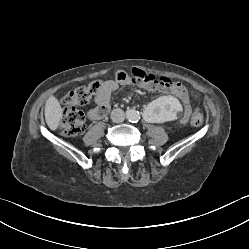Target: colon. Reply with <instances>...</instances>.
Returning <instances> with one entry per match:
<instances>
[{
    "instance_id": "5ec220e1",
    "label": "colon",
    "mask_w": 249,
    "mask_h": 249,
    "mask_svg": "<svg viewBox=\"0 0 249 249\" xmlns=\"http://www.w3.org/2000/svg\"><path fill=\"white\" fill-rule=\"evenodd\" d=\"M147 75L157 80V85L154 88L161 84L162 79H158L152 74ZM103 84L104 82L102 81H94L87 86L78 87L62 97L63 114L60 121V131L64 137H75L84 132L85 118L76 106L86 104L93 95H97L102 90ZM188 93L192 97L196 96L194 91H189ZM190 122L194 126H201L203 124L204 117L198 108L194 109Z\"/></svg>"
}]
</instances>
